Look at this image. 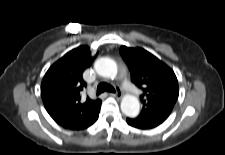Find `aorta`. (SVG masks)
Instances as JSON below:
<instances>
[{
    "mask_svg": "<svg viewBox=\"0 0 225 155\" xmlns=\"http://www.w3.org/2000/svg\"><path fill=\"white\" fill-rule=\"evenodd\" d=\"M94 68L102 77L114 78L118 69L116 62L108 57H102L96 60ZM121 111L128 117H136L140 111V103L137 97L125 95L121 100Z\"/></svg>",
    "mask_w": 225,
    "mask_h": 155,
    "instance_id": "obj_1",
    "label": "aorta"
}]
</instances>
